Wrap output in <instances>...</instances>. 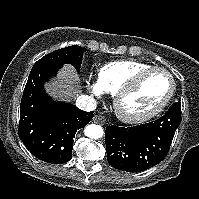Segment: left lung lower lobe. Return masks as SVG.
<instances>
[{"mask_svg": "<svg viewBox=\"0 0 199 199\" xmlns=\"http://www.w3.org/2000/svg\"><path fill=\"white\" fill-rule=\"evenodd\" d=\"M181 123V103L171 105L159 119L132 127L108 126L105 131L107 160L126 172H141L160 163L167 155Z\"/></svg>", "mask_w": 199, "mask_h": 199, "instance_id": "left-lung-lower-lobe-1", "label": "left lung lower lobe"}]
</instances>
